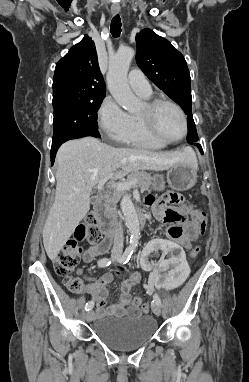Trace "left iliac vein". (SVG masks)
<instances>
[{
    "label": "left iliac vein",
    "instance_id": "4c4485c4",
    "mask_svg": "<svg viewBox=\"0 0 249 382\" xmlns=\"http://www.w3.org/2000/svg\"><path fill=\"white\" fill-rule=\"evenodd\" d=\"M151 307H152V311L154 312L155 315H157V316L161 315L162 311H161L160 305L153 303Z\"/></svg>",
    "mask_w": 249,
    "mask_h": 382
}]
</instances>
